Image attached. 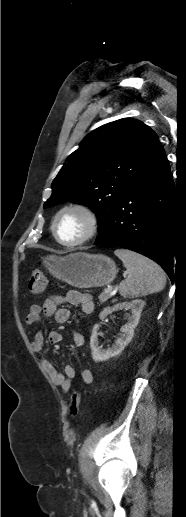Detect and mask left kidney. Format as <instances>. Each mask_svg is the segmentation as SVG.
<instances>
[{"instance_id": "left-kidney-1", "label": "left kidney", "mask_w": 186, "mask_h": 517, "mask_svg": "<svg viewBox=\"0 0 186 517\" xmlns=\"http://www.w3.org/2000/svg\"><path fill=\"white\" fill-rule=\"evenodd\" d=\"M145 302L141 299H136L130 302H122L114 305L113 307H106L100 314V319L106 318L109 314L118 310H130L131 315L128 317L127 323L121 327L120 337L115 341V344L111 348L102 349L99 346L98 341V330L100 325L95 324L92 330L90 338V347L92 350V358L95 362L106 361L111 357H114L121 353L124 348L130 343L134 335V329L139 323L142 309Z\"/></svg>"}]
</instances>
